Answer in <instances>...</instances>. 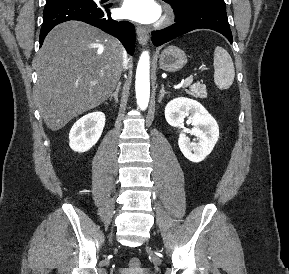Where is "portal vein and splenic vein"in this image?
Listing matches in <instances>:
<instances>
[{
	"mask_svg": "<svg viewBox=\"0 0 289 274\" xmlns=\"http://www.w3.org/2000/svg\"><path fill=\"white\" fill-rule=\"evenodd\" d=\"M192 82H193V78H192V77H189V78H187L185 81L181 82V83H180V86H181V87H187V86H189Z\"/></svg>",
	"mask_w": 289,
	"mask_h": 274,
	"instance_id": "portal-vein-and-splenic-vein-1",
	"label": "portal vein and splenic vein"
}]
</instances>
